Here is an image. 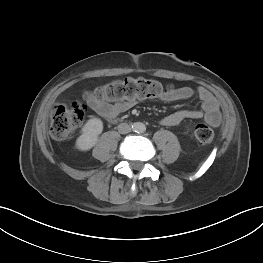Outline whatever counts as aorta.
<instances>
[{"label":"aorta","instance_id":"762f6f07","mask_svg":"<svg viewBox=\"0 0 263 263\" xmlns=\"http://www.w3.org/2000/svg\"><path fill=\"white\" fill-rule=\"evenodd\" d=\"M134 130L136 132L142 133V132H144L146 130V126H145V124H143L141 122H137V123L134 124Z\"/></svg>","mask_w":263,"mask_h":263}]
</instances>
